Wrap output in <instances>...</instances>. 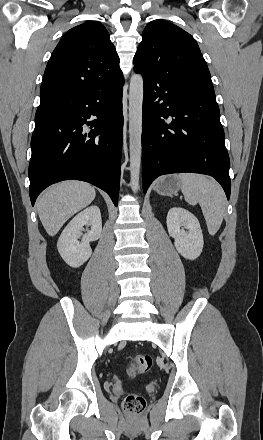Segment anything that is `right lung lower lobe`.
Segmentation results:
<instances>
[{
	"instance_id": "98d812e1",
	"label": "right lung lower lobe",
	"mask_w": 263,
	"mask_h": 440,
	"mask_svg": "<svg viewBox=\"0 0 263 440\" xmlns=\"http://www.w3.org/2000/svg\"><path fill=\"white\" fill-rule=\"evenodd\" d=\"M123 78L54 103L35 120L30 199L62 180L89 182L117 206L123 137Z\"/></svg>"
}]
</instances>
